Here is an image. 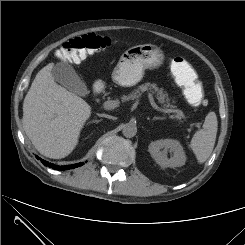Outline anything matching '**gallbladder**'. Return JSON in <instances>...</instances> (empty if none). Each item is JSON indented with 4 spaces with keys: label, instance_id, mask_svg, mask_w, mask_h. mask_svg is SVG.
<instances>
[{
    "label": "gallbladder",
    "instance_id": "gallbladder-1",
    "mask_svg": "<svg viewBox=\"0 0 245 245\" xmlns=\"http://www.w3.org/2000/svg\"><path fill=\"white\" fill-rule=\"evenodd\" d=\"M52 76L56 82L75 94L85 96L88 92L85 83L68 63H57L52 70Z\"/></svg>",
    "mask_w": 245,
    "mask_h": 245
}]
</instances>
